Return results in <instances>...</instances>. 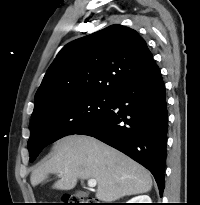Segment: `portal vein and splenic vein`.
<instances>
[{
  "label": "portal vein and splenic vein",
  "instance_id": "1",
  "mask_svg": "<svg viewBox=\"0 0 200 205\" xmlns=\"http://www.w3.org/2000/svg\"><path fill=\"white\" fill-rule=\"evenodd\" d=\"M87 184L90 188H94L97 185V181L95 179H89Z\"/></svg>",
  "mask_w": 200,
  "mask_h": 205
}]
</instances>
